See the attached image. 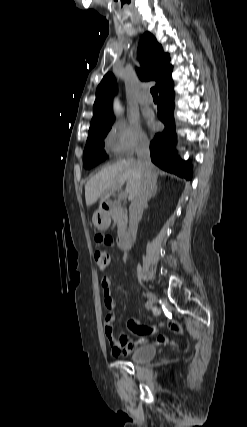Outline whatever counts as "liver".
Instances as JSON below:
<instances>
[{
    "instance_id": "6515ba94",
    "label": "liver",
    "mask_w": 247,
    "mask_h": 427,
    "mask_svg": "<svg viewBox=\"0 0 247 427\" xmlns=\"http://www.w3.org/2000/svg\"><path fill=\"white\" fill-rule=\"evenodd\" d=\"M153 171L156 175L154 167ZM142 176V169L134 158L123 159L103 168L85 185L86 205L94 204L99 198L101 205L111 192L125 182L129 198L133 199L141 186Z\"/></svg>"
}]
</instances>
